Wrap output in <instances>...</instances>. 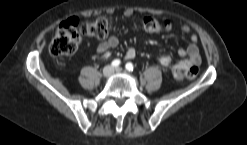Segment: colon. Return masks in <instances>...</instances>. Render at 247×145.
<instances>
[{
  "label": "colon",
  "instance_id": "5ec220e1",
  "mask_svg": "<svg viewBox=\"0 0 247 145\" xmlns=\"http://www.w3.org/2000/svg\"><path fill=\"white\" fill-rule=\"evenodd\" d=\"M112 20L108 17L101 16L94 20L85 23L79 27L76 19H70L63 22L58 29L50 43L49 51L55 57L73 55L80 43L81 35L94 37L98 39L105 38L113 28ZM142 26L145 31L149 33H166L172 28L168 21H160L152 16L143 18ZM166 65H170L168 59H164ZM174 74L178 78L193 79L197 76L198 69L191 68L185 72L182 71L178 63L173 67Z\"/></svg>",
  "mask_w": 247,
  "mask_h": 145
}]
</instances>
